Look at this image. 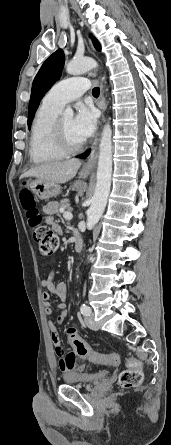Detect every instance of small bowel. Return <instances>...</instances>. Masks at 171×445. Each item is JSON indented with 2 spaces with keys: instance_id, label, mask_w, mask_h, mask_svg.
Segmentation results:
<instances>
[{
  "instance_id": "1",
  "label": "small bowel",
  "mask_w": 171,
  "mask_h": 445,
  "mask_svg": "<svg viewBox=\"0 0 171 445\" xmlns=\"http://www.w3.org/2000/svg\"><path fill=\"white\" fill-rule=\"evenodd\" d=\"M57 210L56 203H48L44 206V211L48 214L47 222L56 230H59V226L54 222L52 214ZM42 287L47 290L42 294L45 313L51 315L53 312V304L51 302V295L57 296L64 301L67 297V285L64 282H55L53 274L49 275L41 283ZM56 308L59 310V315L55 321H49L48 326L51 333V339L55 347V352L59 357V368L63 373L72 372L76 369V360L74 353L65 354L61 347V339L59 333V325L62 324L65 317L68 314L67 307L64 303L58 304ZM117 358L118 355L113 353ZM119 359V358H118ZM118 363V362H117ZM116 363V364H117ZM114 364V365H116Z\"/></svg>"
}]
</instances>
